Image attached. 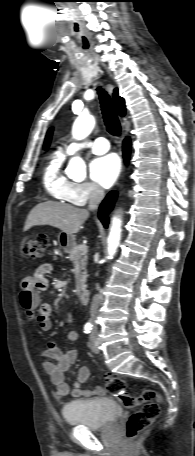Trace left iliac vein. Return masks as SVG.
Wrapping results in <instances>:
<instances>
[{
    "label": "left iliac vein",
    "mask_w": 195,
    "mask_h": 456,
    "mask_svg": "<svg viewBox=\"0 0 195 456\" xmlns=\"http://www.w3.org/2000/svg\"><path fill=\"white\" fill-rule=\"evenodd\" d=\"M96 337H97V331L94 328L93 331L91 332V335H90L89 347L92 350V352L99 353L100 350H99L98 345H97Z\"/></svg>",
    "instance_id": "obj_1"
}]
</instances>
